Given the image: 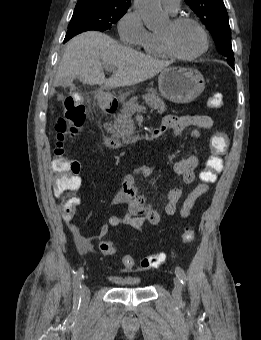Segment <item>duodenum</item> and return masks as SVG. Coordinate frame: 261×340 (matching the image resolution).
Here are the masks:
<instances>
[{"label":"duodenum","mask_w":261,"mask_h":340,"mask_svg":"<svg viewBox=\"0 0 261 340\" xmlns=\"http://www.w3.org/2000/svg\"><path fill=\"white\" fill-rule=\"evenodd\" d=\"M117 107H118V103L116 101H108V102H105L103 104V110L108 114L114 113L116 111ZM145 135L146 134H144V136ZM140 136H143V135H140ZM104 143H105L106 146H108L109 148H112V149H121L122 148V143L119 142L117 139H115L114 137H112L110 135H106L104 137Z\"/></svg>","instance_id":"410a0bca"}]
</instances>
